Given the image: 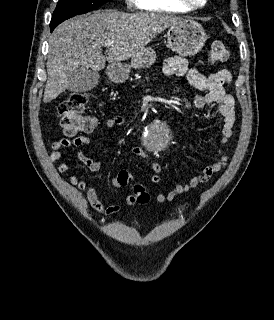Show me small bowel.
<instances>
[{
    "instance_id": "obj_1",
    "label": "small bowel",
    "mask_w": 274,
    "mask_h": 320,
    "mask_svg": "<svg viewBox=\"0 0 274 320\" xmlns=\"http://www.w3.org/2000/svg\"><path fill=\"white\" fill-rule=\"evenodd\" d=\"M163 71L167 76H186L189 84L196 89L207 91L206 94H198L194 97V105L203 109L211 104H216L219 107V113L223 119L221 129L220 145H224L231 140L236 126V101L227 92L226 87L232 82V73L228 69H221L214 73L205 75L196 68H190L185 58L181 56H171L164 61ZM81 124L89 126L84 129V132L101 131V119H85ZM125 119L122 116H115L108 118L104 125L107 129H114L123 126ZM93 143L92 139L87 136H79L73 139L63 138L51 144V153L49 159L51 162H57L62 158V150L71 146H89ZM131 152L149 162L153 174L150 178L151 182L157 184L161 181L162 168L154 161L143 149L133 147ZM217 159L200 173L194 175L187 183L178 184L174 186L167 193H159L156 200L159 203H170L176 197L181 196L190 190L196 188L198 185L208 181L213 175L220 172L228 161L227 155L223 154L220 147L216 149ZM79 161L90 171L97 172L101 169V163L88 157L82 150L77 152ZM68 164L62 162L58 166L59 173H65L68 170ZM121 172H128L122 170ZM129 173V172H128ZM118 176V175H117ZM69 182L72 186L77 188L80 192L85 194V197L94 211L103 216H108L119 212L122 205L109 196H104L103 200L107 203L104 204L98 190L89 186L85 181L79 179L76 175L69 177ZM111 184L114 187H121L117 177L111 179ZM126 205H133L136 203L132 195H127L123 199Z\"/></svg>"
}]
</instances>
